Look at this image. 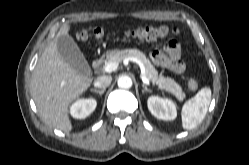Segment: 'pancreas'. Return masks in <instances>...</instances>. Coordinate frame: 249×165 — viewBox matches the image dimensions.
I'll return each instance as SVG.
<instances>
[{
	"mask_svg": "<svg viewBox=\"0 0 249 165\" xmlns=\"http://www.w3.org/2000/svg\"><path fill=\"white\" fill-rule=\"evenodd\" d=\"M128 57L138 60L144 66L146 77L153 84H156L161 90L172 93L179 101H182L185 98V93L182 91L181 86L173 79L159 74L146 55L137 49H125L117 51L108 57V62L116 61L120 63L122 60Z\"/></svg>",
	"mask_w": 249,
	"mask_h": 165,
	"instance_id": "1",
	"label": "pancreas"
}]
</instances>
